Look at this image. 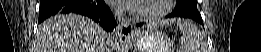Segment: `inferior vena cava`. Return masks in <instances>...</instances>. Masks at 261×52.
Instances as JSON below:
<instances>
[{
  "label": "inferior vena cava",
  "mask_w": 261,
  "mask_h": 52,
  "mask_svg": "<svg viewBox=\"0 0 261 52\" xmlns=\"http://www.w3.org/2000/svg\"><path fill=\"white\" fill-rule=\"evenodd\" d=\"M114 17L116 20H120L123 17L124 11L121 7H116L113 11ZM107 47L105 48V50H103L104 52H107Z\"/></svg>",
  "instance_id": "obj_1"
}]
</instances>
